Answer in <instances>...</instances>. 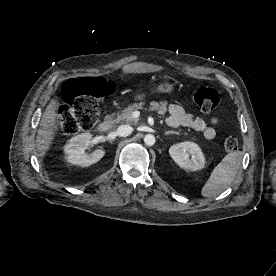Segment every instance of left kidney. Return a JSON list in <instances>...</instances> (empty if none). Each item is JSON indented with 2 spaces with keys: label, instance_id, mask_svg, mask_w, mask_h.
<instances>
[{
  "label": "left kidney",
  "instance_id": "5707ae66",
  "mask_svg": "<svg viewBox=\"0 0 276 276\" xmlns=\"http://www.w3.org/2000/svg\"><path fill=\"white\" fill-rule=\"evenodd\" d=\"M169 154L181 168L197 171L205 166V157L194 142L185 141L175 144L170 147Z\"/></svg>",
  "mask_w": 276,
  "mask_h": 276
}]
</instances>
